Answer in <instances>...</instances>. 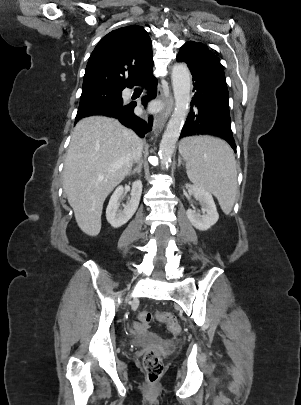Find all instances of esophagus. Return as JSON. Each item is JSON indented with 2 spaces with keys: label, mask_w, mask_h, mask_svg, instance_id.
<instances>
[{
  "label": "esophagus",
  "mask_w": 301,
  "mask_h": 405,
  "mask_svg": "<svg viewBox=\"0 0 301 405\" xmlns=\"http://www.w3.org/2000/svg\"><path fill=\"white\" fill-rule=\"evenodd\" d=\"M158 98L162 103V110L154 118L153 129L156 133H159L163 129L174 107V100L171 94L165 96L162 90H158Z\"/></svg>",
  "instance_id": "obj_1"
}]
</instances>
